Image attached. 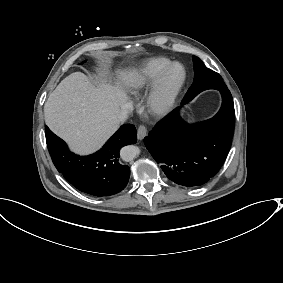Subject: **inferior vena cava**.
<instances>
[{
    "label": "inferior vena cava",
    "mask_w": 283,
    "mask_h": 283,
    "mask_svg": "<svg viewBox=\"0 0 283 283\" xmlns=\"http://www.w3.org/2000/svg\"><path fill=\"white\" fill-rule=\"evenodd\" d=\"M132 104H125L118 116L120 122H124L128 118V113L132 110Z\"/></svg>",
    "instance_id": "inferior-vena-cava-1"
}]
</instances>
